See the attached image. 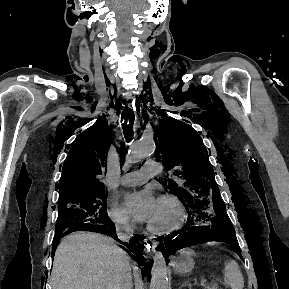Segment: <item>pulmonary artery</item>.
I'll return each instance as SVG.
<instances>
[{
    "mask_svg": "<svg viewBox=\"0 0 289 289\" xmlns=\"http://www.w3.org/2000/svg\"><path fill=\"white\" fill-rule=\"evenodd\" d=\"M162 171V166L156 161H147L141 169L124 174L120 183L125 186H137L148 179L157 176Z\"/></svg>",
    "mask_w": 289,
    "mask_h": 289,
    "instance_id": "obj_1",
    "label": "pulmonary artery"
}]
</instances>
